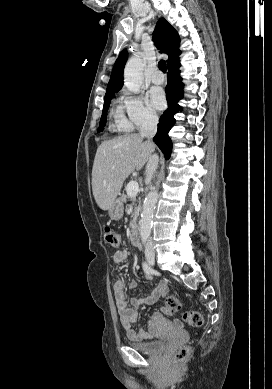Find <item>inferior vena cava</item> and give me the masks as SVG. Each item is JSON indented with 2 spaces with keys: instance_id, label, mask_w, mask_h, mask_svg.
Here are the masks:
<instances>
[{
  "instance_id": "602c4592",
  "label": "inferior vena cava",
  "mask_w": 272,
  "mask_h": 389,
  "mask_svg": "<svg viewBox=\"0 0 272 389\" xmlns=\"http://www.w3.org/2000/svg\"><path fill=\"white\" fill-rule=\"evenodd\" d=\"M158 118L152 115L146 117L144 123L140 128V134L142 137H147L151 140L157 132ZM158 155L153 154L150 156L146 165V181H150L158 166ZM145 252L154 253V246L151 240H148L145 246Z\"/></svg>"
}]
</instances>
